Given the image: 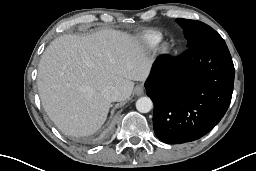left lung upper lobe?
Masks as SVG:
<instances>
[{
  "label": "left lung upper lobe",
  "instance_id": "obj_1",
  "mask_svg": "<svg viewBox=\"0 0 256 171\" xmlns=\"http://www.w3.org/2000/svg\"><path fill=\"white\" fill-rule=\"evenodd\" d=\"M176 21L184 30L188 48L201 43L224 42L213 28L203 22L183 18H178Z\"/></svg>",
  "mask_w": 256,
  "mask_h": 171
}]
</instances>
